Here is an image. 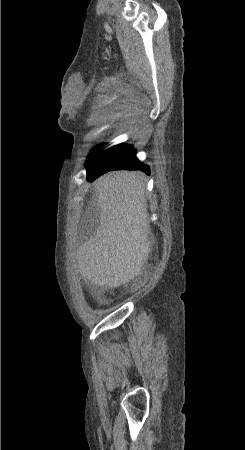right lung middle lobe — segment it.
Segmentation results:
<instances>
[{"label": "right lung middle lobe", "mask_w": 245, "mask_h": 450, "mask_svg": "<svg viewBox=\"0 0 245 450\" xmlns=\"http://www.w3.org/2000/svg\"><path fill=\"white\" fill-rule=\"evenodd\" d=\"M121 149L122 148L118 145V146L111 147L107 150L91 151L87 158L86 167L88 168V170L96 167L107 154H109L110 152L121 150Z\"/></svg>", "instance_id": "obj_1"}]
</instances>
